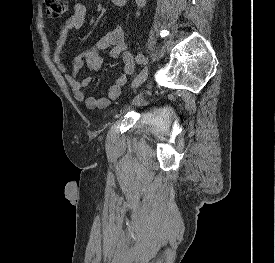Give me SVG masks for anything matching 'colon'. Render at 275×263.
Instances as JSON below:
<instances>
[{
	"instance_id": "1",
	"label": "colon",
	"mask_w": 275,
	"mask_h": 263,
	"mask_svg": "<svg viewBox=\"0 0 275 263\" xmlns=\"http://www.w3.org/2000/svg\"><path fill=\"white\" fill-rule=\"evenodd\" d=\"M45 8L49 15L60 17L69 9V0H44Z\"/></svg>"
}]
</instances>
